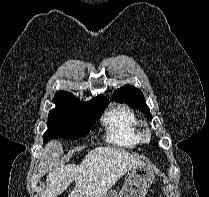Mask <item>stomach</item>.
<instances>
[{"mask_svg":"<svg viewBox=\"0 0 209 197\" xmlns=\"http://www.w3.org/2000/svg\"><path fill=\"white\" fill-rule=\"evenodd\" d=\"M154 178L152 168L143 163L130 170L120 192L108 190L101 197H145Z\"/></svg>","mask_w":209,"mask_h":197,"instance_id":"1","label":"stomach"}]
</instances>
